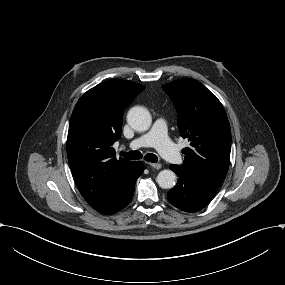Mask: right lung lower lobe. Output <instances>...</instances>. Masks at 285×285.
Returning <instances> with one entry per match:
<instances>
[{
    "instance_id": "1",
    "label": "right lung lower lobe",
    "mask_w": 285,
    "mask_h": 285,
    "mask_svg": "<svg viewBox=\"0 0 285 285\" xmlns=\"http://www.w3.org/2000/svg\"><path fill=\"white\" fill-rule=\"evenodd\" d=\"M144 171V164L136 161L119 181L118 186L108 202L95 209L102 214H114L126 207L132 200L135 182Z\"/></svg>"
}]
</instances>
